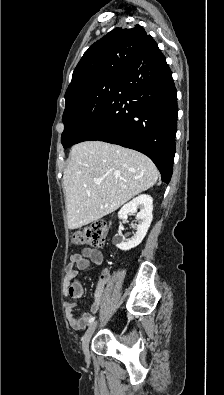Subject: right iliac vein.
<instances>
[{
    "instance_id": "right-iliac-vein-1",
    "label": "right iliac vein",
    "mask_w": 224,
    "mask_h": 395,
    "mask_svg": "<svg viewBox=\"0 0 224 395\" xmlns=\"http://www.w3.org/2000/svg\"><path fill=\"white\" fill-rule=\"evenodd\" d=\"M96 327H97L96 322L91 323L83 336L82 350L85 353V355H89V343L93 333L95 332Z\"/></svg>"
}]
</instances>
